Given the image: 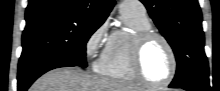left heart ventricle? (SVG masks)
Masks as SVG:
<instances>
[{
	"label": "left heart ventricle",
	"mask_w": 220,
	"mask_h": 91,
	"mask_svg": "<svg viewBox=\"0 0 220 91\" xmlns=\"http://www.w3.org/2000/svg\"><path fill=\"white\" fill-rule=\"evenodd\" d=\"M142 70L145 76L154 82H162L170 74V55L161 41H151L145 47L142 55Z\"/></svg>",
	"instance_id": "left-heart-ventricle-1"
}]
</instances>
